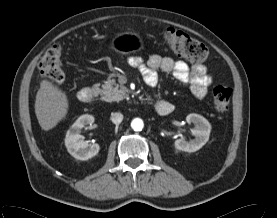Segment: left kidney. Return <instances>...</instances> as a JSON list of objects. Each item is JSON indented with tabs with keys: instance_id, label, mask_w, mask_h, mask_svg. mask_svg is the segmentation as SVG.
<instances>
[{
	"instance_id": "5707ae66",
	"label": "left kidney",
	"mask_w": 277,
	"mask_h": 218,
	"mask_svg": "<svg viewBox=\"0 0 277 218\" xmlns=\"http://www.w3.org/2000/svg\"><path fill=\"white\" fill-rule=\"evenodd\" d=\"M186 121L188 124H194L191 132L195 136V139L190 141H186L184 138L177 139L174 142V146L178 150L191 153L199 150L207 143L211 132V125L206 118L196 113L187 115Z\"/></svg>"
}]
</instances>
